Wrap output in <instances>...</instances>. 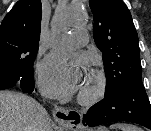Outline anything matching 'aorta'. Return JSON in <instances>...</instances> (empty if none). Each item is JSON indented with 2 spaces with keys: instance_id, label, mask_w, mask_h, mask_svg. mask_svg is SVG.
Returning <instances> with one entry per match:
<instances>
[{
  "instance_id": "762f6f07",
  "label": "aorta",
  "mask_w": 151,
  "mask_h": 131,
  "mask_svg": "<svg viewBox=\"0 0 151 131\" xmlns=\"http://www.w3.org/2000/svg\"><path fill=\"white\" fill-rule=\"evenodd\" d=\"M60 25L63 29H71L75 27L76 21L72 18H64L61 20Z\"/></svg>"
}]
</instances>
